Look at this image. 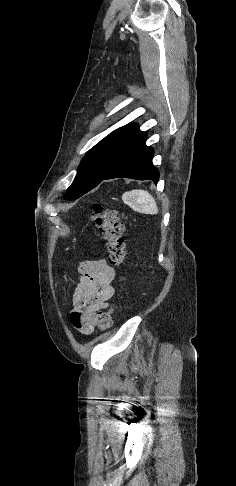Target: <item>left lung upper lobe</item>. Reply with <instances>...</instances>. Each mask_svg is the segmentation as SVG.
<instances>
[{
  "instance_id": "5c2ea615",
  "label": "left lung upper lobe",
  "mask_w": 236,
  "mask_h": 486,
  "mask_svg": "<svg viewBox=\"0 0 236 486\" xmlns=\"http://www.w3.org/2000/svg\"><path fill=\"white\" fill-rule=\"evenodd\" d=\"M142 134L136 124L126 125L101 140L82 159L63 198L77 199L96 187Z\"/></svg>"
}]
</instances>
